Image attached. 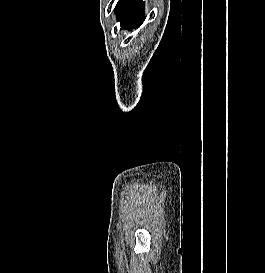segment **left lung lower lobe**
I'll return each mask as SVG.
<instances>
[{
  "label": "left lung lower lobe",
  "instance_id": "1",
  "mask_svg": "<svg viewBox=\"0 0 265 273\" xmlns=\"http://www.w3.org/2000/svg\"><path fill=\"white\" fill-rule=\"evenodd\" d=\"M115 12L122 28L138 27L144 21V2L142 0H119Z\"/></svg>",
  "mask_w": 265,
  "mask_h": 273
}]
</instances>
